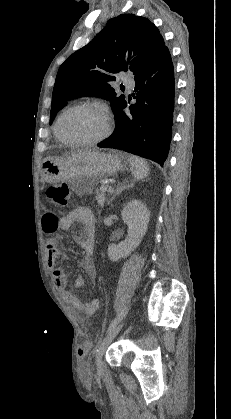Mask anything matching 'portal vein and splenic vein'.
<instances>
[{
    "label": "portal vein and splenic vein",
    "mask_w": 231,
    "mask_h": 419,
    "mask_svg": "<svg viewBox=\"0 0 231 419\" xmlns=\"http://www.w3.org/2000/svg\"><path fill=\"white\" fill-rule=\"evenodd\" d=\"M108 188H110L109 186H103L102 188H101V190H103V191H107L108 190Z\"/></svg>",
    "instance_id": "obj_1"
}]
</instances>
